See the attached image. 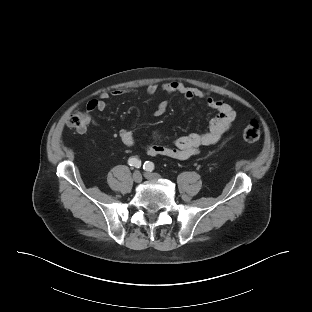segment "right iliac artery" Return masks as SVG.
I'll return each instance as SVG.
<instances>
[{
	"label": "right iliac artery",
	"mask_w": 312,
	"mask_h": 312,
	"mask_svg": "<svg viewBox=\"0 0 312 312\" xmlns=\"http://www.w3.org/2000/svg\"><path fill=\"white\" fill-rule=\"evenodd\" d=\"M128 164L130 166H135L136 168H140L141 167V161L138 160L137 158H134V157L129 158Z\"/></svg>",
	"instance_id": "obj_1"
}]
</instances>
